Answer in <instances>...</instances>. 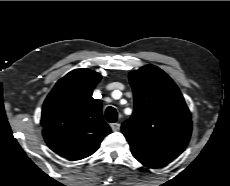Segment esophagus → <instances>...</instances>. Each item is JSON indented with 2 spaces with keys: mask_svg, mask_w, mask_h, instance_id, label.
Wrapping results in <instances>:
<instances>
[{
  "mask_svg": "<svg viewBox=\"0 0 230 186\" xmlns=\"http://www.w3.org/2000/svg\"><path fill=\"white\" fill-rule=\"evenodd\" d=\"M110 126H111V129H112L113 131H118V130H120V124H119V123H112Z\"/></svg>",
  "mask_w": 230,
  "mask_h": 186,
  "instance_id": "esophagus-1",
  "label": "esophagus"
}]
</instances>
